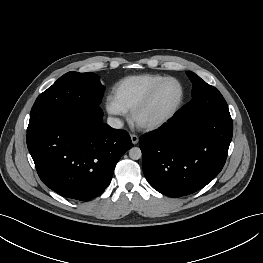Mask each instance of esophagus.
<instances>
[{"mask_svg": "<svg viewBox=\"0 0 263 263\" xmlns=\"http://www.w3.org/2000/svg\"><path fill=\"white\" fill-rule=\"evenodd\" d=\"M130 137H131L132 143H133L134 145H136V144L138 143V141H139L138 136L135 135V134H131Z\"/></svg>", "mask_w": 263, "mask_h": 263, "instance_id": "1", "label": "esophagus"}]
</instances>
